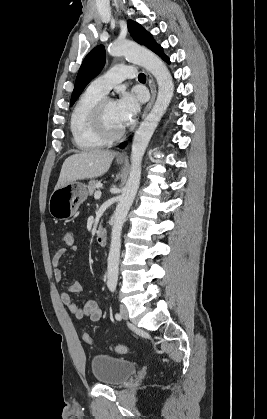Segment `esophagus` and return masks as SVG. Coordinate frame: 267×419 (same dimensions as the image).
<instances>
[{"label": "esophagus", "instance_id": "obj_1", "mask_svg": "<svg viewBox=\"0 0 267 419\" xmlns=\"http://www.w3.org/2000/svg\"><path fill=\"white\" fill-rule=\"evenodd\" d=\"M146 76H147L148 84L150 86L151 98H150V101L148 102V104L145 108L143 117H145L146 114L148 113V111L151 109L152 105L154 104L155 98H156V86H155V83H154V79H153V77L150 73H146ZM117 157H118V159H127V157H128L127 152L123 151Z\"/></svg>", "mask_w": 267, "mask_h": 419}]
</instances>
